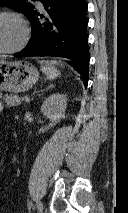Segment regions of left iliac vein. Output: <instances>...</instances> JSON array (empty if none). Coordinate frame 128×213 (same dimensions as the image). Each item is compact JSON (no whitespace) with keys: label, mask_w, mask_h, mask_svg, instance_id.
Masks as SVG:
<instances>
[{"label":"left iliac vein","mask_w":128,"mask_h":213,"mask_svg":"<svg viewBox=\"0 0 128 213\" xmlns=\"http://www.w3.org/2000/svg\"><path fill=\"white\" fill-rule=\"evenodd\" d=\"M40 213H43V209L40 211Z\"/></svg>","instance_id":"obj_1"}]
</instances>
